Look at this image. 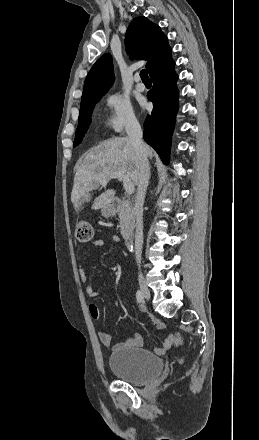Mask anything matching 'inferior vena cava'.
<instances>
[{"label":"inferior vena cava","instance_id":"602c4592","mask_svg":"<svg viewBox=\"0 0 259 440\" xmlns=\"http://www.w3.org/2000/svg\"><path fill=\"white\" fill-rule=\"evenodd\" d=\"M126 133L139 155V174L137 183V194L135 199V256L136 262L140 268L141 254L143 248V205L147 186L149 183L150 165L147 158V147L146 144L142 141L141 126L136 119H132L128 123L126 127Z\"/></svg>","mask_w":259,"mask_h":440}]
</instances>
